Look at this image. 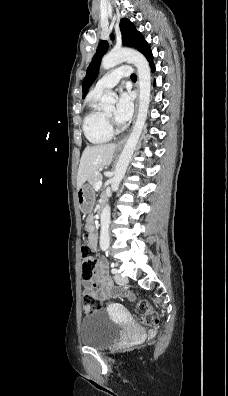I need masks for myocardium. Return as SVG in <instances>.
I'll return each mask as SVG.
<instances>
[{
	"instance_id": "myocardium-1",
	"label": "myocardium",
	"mask_w": 228,
	"mask_h": 396,
	"mask_svg": "<svg viewBox=\"0 0 228 396\" xmlns=\"http://www.w3.org/2000/svg\"><path fill=\"white\" fill-rule=\"evenodd\" d=\"M104 116H105V120H106L108 129L110 130V132L111 133H119L120 132V128L114 124L112 118H110L106 114H104Z\"/></svg>"
}]
</instances>
